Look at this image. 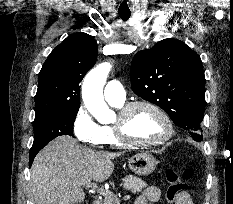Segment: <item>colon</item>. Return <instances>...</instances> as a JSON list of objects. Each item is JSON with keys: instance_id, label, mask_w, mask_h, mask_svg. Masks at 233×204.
Wrapping results in <instances>:
<instances>
[{"instance_id": "5ec220e1", "label": "colon", "mask_w": 233, "mask_h": 204, "mask_svg": "<svg viewBox=\"0 0 233 204\" xmlns=\"http://www.w3.org/2000/svg\"><path fill=\"white\" fill-rule=\"evenodd\" d=\"M193 176V171L190 169L179 173L174 169H168L165 172V178L168 183L167 198L170 201H175L182 194L186 193V181L190 180Z\"/></svg>"}]
</instances>
